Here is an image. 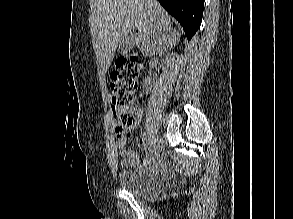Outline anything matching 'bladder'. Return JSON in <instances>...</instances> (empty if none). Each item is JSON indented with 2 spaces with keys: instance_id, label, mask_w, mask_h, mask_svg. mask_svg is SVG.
I'll use <instances>...</instances> for the list:
<instances>
[{
  "instance_id": "obj_1",
  "label": "bladder",
  "mask_w": 293,
  "mask_h": 219,
  "mask_svg": "<svg viewBox=\"0 0 293 219\" xmlns=\"http://www.w3.org/2000/svg\"><path fill=\"white\" fill-rule=\"evenodd\" d=\"M118 183L122 189L139 196L162 191L168 181L163 174L146 168H133L120 172Z\"/></svg>"
}]
</instances>
